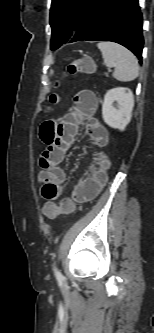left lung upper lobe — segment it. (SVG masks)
Listing matches in <instances>:
<instances>
[{"instance_id": "left-lung-upper-lobe-1", "label": "left lung upper lobe", "mask_w": 154, "mask_h": 333, "mask_svg": "<svg viewBox=\"0 0 154 333\" xmlns=\"http://www.w3.org/2000/svg\"><path fill=\"white\" fill-rule=\"evenodd\" d=\"M96 0H52L50 25L52 28L51 49L58 48L78 30Z\"/></svg>"}]
</instances>
